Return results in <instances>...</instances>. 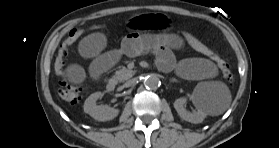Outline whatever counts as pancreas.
<instances>
[{
  "mask_svg": "<svg viewBox=\"0 0 279 148\" xmlns=\"http://www.w3.org/2000/svg\"><path fill=\"white\" fill-rule=\"evenodd\" d=\"M134 74H135V71L127 69L126 67H122L121 69L116 71L115 78L118 81L123 82V81L131 78Z\"/></svg>",
  "mask_w": 279,
  "mask_h": 148,
  "instance_id": "cf45deb5",
  "label": "pancreas"
}]
</instances>
